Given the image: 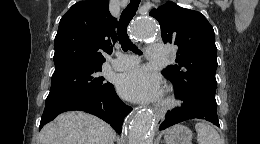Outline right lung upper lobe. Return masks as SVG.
I'll use <instances>...</instances> for the list:
<instances>
[{
    "label": "right lung upper lobe",
    "mask_w": 260,
    "mask_h": 144,
    "mask_svg": "<svg viewBox=\"0 0 260 144\" xmlns=\"http://www.w3.org/2000/svg\"><path fill=\"white\" fill-rule=\"evenodd\" d=\"M117 19L108 0L80 1L61 18L55 37V69L72 64L102 65L117 41Z\"/></svg>",
    "instance_id": "1"
}]
</instances>
